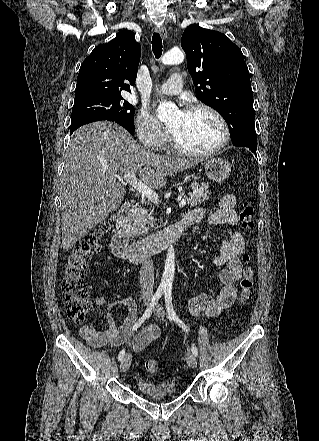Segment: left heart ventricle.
Segmentation results:
<instances>
[{"label": "left heart ventricle", "instance_id": "b2bd125f", "mask_svg": "<svg viewBox=\"0 0 319 441\" xmlns=\"http://www.w3.org/2000/svg\"><path fill=\"white\" fill-rule=\"evenodd\" d=\"M168 126L178 143L193 151L211 149L222 138L218 121L203 110L178 112L169 119Z\"/></svg>", "mask_w": 319, "mask_h": 441}]
</instances>
